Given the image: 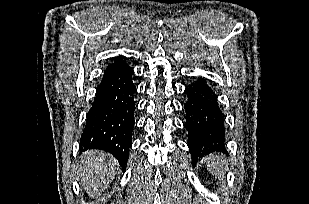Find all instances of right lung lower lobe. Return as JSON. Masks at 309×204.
<instances>
[{
    "instance_id": "obj_1",
    "label": "right lung lower lobe",
    "mask_w": 309,
    "mask_h": 204,
    "mask_svg": "<svg viewBox=\"0 0 309 204\" xmlns=\"http://www.w3.org/2000/svg\"><path fill=\"white\" fill-rule=\"evenodd\" d=\"M133 74L127 64L104 73L80 140V152L105 150L118 160L123 169L128 161L135 124L136 86Z\"/></svg>"
}]
</instances>
